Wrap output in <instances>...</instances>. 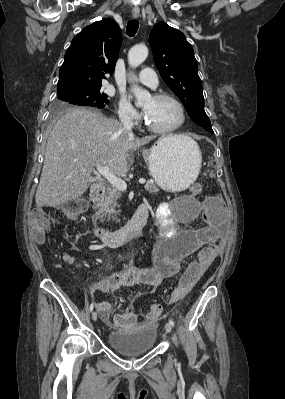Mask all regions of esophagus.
<instances>
[{"label":"esophagus","mask_w":285,"mask_h":399,"mask_svg":"<svg viewBox=\"0 0 285 399\" xmlns=\"http://www.w3.org/2000/svg\"><path fill=\"white\" fill-rule=\"evenodd\" d=\"M139 14H140V9H139V7L135 6L133 8L132 15L134 18H137L139 16Z\"/></svg>","instance_id":"1"}]
</instances>
